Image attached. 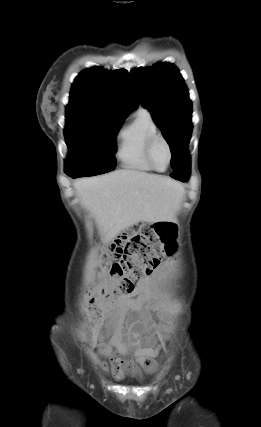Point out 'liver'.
<instances>
[{"instance_id":"6515ba94","label":"liver","mask_w":261,"mask_h":427,"mask_svg":"<svg viewBox=\"0 0 261 427\" xmlns=\"http://www.w3.org/2000/svg\"><path fill=\"white\" fill-rule=\"evenodd\" d=\"M74 188L106 241L141 221L173 220L185 193L170 178L131 169L80 179Z\"/></svg>"}]
</instances>
